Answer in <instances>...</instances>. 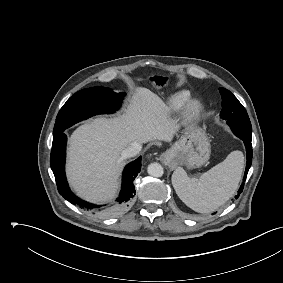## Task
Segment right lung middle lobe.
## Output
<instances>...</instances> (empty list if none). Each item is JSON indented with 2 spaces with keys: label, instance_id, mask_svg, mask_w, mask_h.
Returning <instances> with one entry per match:
<instances>
[{
  "label": "right lung middle lobe",
  "instance_id": "obj_1",
  "mask_svg": "<svg viewBox=\"0 0 283 283\" xmlns=\"http://www.w3.org/2000/svg\"><path fill=\"white\" fill-rule=\"evenodd\" d=\"M123 97V93H115L101 86L75 93L57 115L53 138L61 135L68 127L93 115L115 112L119 109Z\"/></svg>",
  "mask_w": 283,
  "mask_h": 283
}]
</instances>
